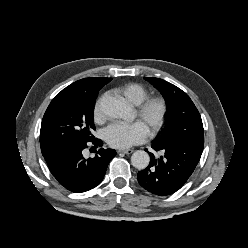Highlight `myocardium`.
I'll return each mask as SVG.
<instances>
[{"label": "myocardium", "mask_w": 248, "mask_h": 248, "mask_svg": "<svg viewBox=\"0 0 248 248\" xmlns=\"http://www.w3.org/2000/svg\"><path fill=\"white\" fill-rule=\"evenodd\" d=\"M168 112L166 100L161 96L146 97L138 104L137 115L143 120L149 131L154 133L163 125Z\"/></svg>", "instance_id": "1"}]
</instances>
